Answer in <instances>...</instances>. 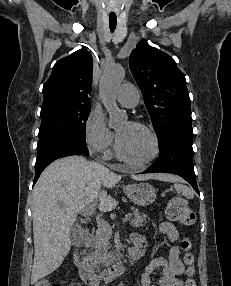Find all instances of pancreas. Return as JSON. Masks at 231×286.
<instances>
[{"label":"pancreas","mask_w":231,"mask_h":286,"mask_svg":"<svg viewBox=\"0 0 231 286\" xmlns=\"http://www.w3.org/2000/svg\"><path fill=\"white\" fill-rule=\"evenodd\" d=\"M134 218L131 220L133 227H141L146 222V215L138 211H134ZM112 235L111 227H98L95 234L91 237V252L87 257L90 267L99 270L104 266H108L113 260V252L109 249L110 239Z\"/></svg>","instance_id":"pancreas-1"}]
</instances>
